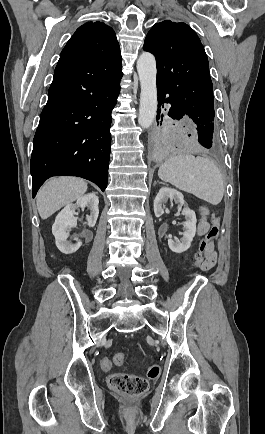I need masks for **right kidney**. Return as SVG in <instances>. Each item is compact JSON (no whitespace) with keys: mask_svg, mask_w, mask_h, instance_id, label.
I'll return each instance as SVG.
<instances>
[{"mask_svg":"<svg viewBox=\"0 0 265 434\" xmlns=\"http://www.w3.org/2000/svg\"><path fill=\"white\" fill-rule=\"evenodd\" d=\"M98 204L99 200L95 192H92V194H85L82 198H78L76 204H68L56 216V220L52 226V234L55 236L56 246L62 254H73V252H77L80 246H82V242H77V244L67 242V238H69L67 230L69 228H76L77 226L74 218V214H76L75 210L77 208H89L90 216H86V220L89 228H94L99 214Z\"/></svg>","mask_w":265,"mask_h":434,"instance_id":"ca27d5eb","label":"right kidney"}]
</instances>
